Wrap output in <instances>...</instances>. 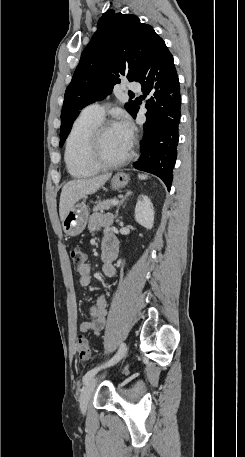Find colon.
I'll return each mask as SVG.
<instances>
[{
  "mask_svg": "<svg viewBox=\"0 0 245 457\" xmlns=\"http://www.w3.org/2000/svg\"><path fill=\"white\" fill-rule=\"evenodd\" d=\"M69 256L73 265L79 269L86 261V253L79 247L69 249ZM76 351L82 360H87L90 357V341L84 334H79L76 339Z\"/></svg>",
  "mask_w": 245,
  "mask_h": 457,
  "instance_id": "colon-1",
  "label": "colon"
}]
</instances>
